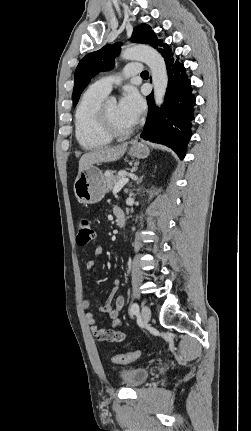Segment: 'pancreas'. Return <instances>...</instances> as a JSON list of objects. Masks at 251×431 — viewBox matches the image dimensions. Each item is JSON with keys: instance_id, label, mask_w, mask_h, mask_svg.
Here are the masks:
<instances>
[{"instance_id": "1", "label": "pancreas", "mask_w": 251, "mask_h": 431, "mask_svg": "<svg viewBox=\"0 0 251 431\" xmlns=\"http://www.w3.org/2000/svg\"><path fill=\"white\" fill-rule=\"evenodd\" d=\"M128 173L126 171H120L118 173V175H113L112 171H107L105 173V181H106V191L109 192L111 191L115 184L122 178H125V176Z\"/></svg>"}]
</instances>
